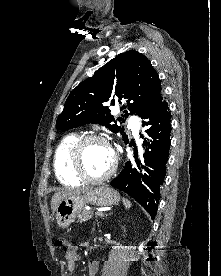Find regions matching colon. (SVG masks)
I'll list each match as a JSON object with an SVG mask.
<instances>
[{
	"label": "colon",
	"mask_w": 221,
	"mask_h": 276,
	"mask_svg": "<svg viewBox=\"0 0 221 276\" xmlns=\"http://www.w3.org/2000/svg\"><path fill=\"white\" fill-rule=\"evenodd\" d=\"M55 245L59 248H67V249L72 246L66 237H59L56 240Z\"/></svg>",
	"instance_id": "obj_1"
}]
</instances>
